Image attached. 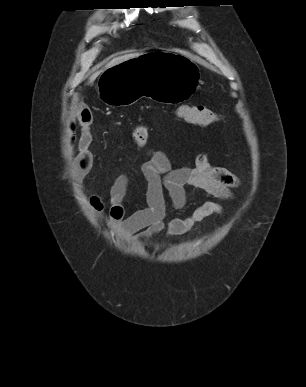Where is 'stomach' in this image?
I'll return each instance as SVG.
<instances>
[{
	"mask_svg": "<svg viewBox=\"0 0 306 387\" xmlns=\"http://www.w3.org/2000/svg\"><path fill=\"white\" fill-rule=\"evenodd\" d=\"M147 50V54L101 70L98 89L105 104L129 106L141 95L158 104H186L200 82L199 67L188 56L165 52L162 46H148Z\"/></svg>",
	"mask_w": 306,
	"mask_h": 387,
	"instance_id": "0dacf381",
	"label": "stomach"
}]
</instances>
